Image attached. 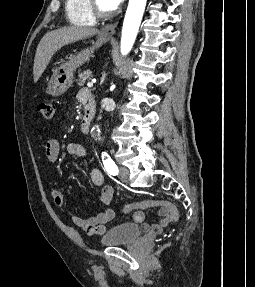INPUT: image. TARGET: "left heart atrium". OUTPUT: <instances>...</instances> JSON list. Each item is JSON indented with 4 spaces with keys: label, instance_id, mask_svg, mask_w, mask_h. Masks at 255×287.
<instances>
[{
    "label": "left heart atrium",
    "instance_id": "1",
    "mask_svg": "<svg viewBox=\"0 0 255 287\" xmlns=\"http://www.w3.org/2000/svg\"><path fill=\"white\" fill-rule=\"evenodd\" d=\"M106 1H108V3H109L110 5H114V3H116V1H118V0H106Z\"/></svg>",
    "mask_w": 255,
    "mask_h": 287
}]
</instances>
